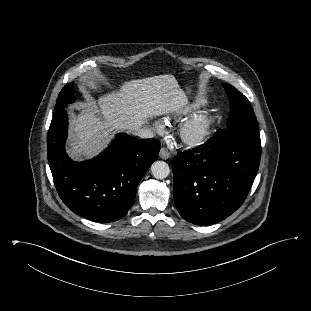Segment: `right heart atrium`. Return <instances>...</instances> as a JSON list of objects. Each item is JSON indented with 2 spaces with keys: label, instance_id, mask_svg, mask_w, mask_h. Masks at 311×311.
I'll use <instances>...</instances> for the list:
<instances>
[{
  "label": "right heart atrium",
  "instance_id": "d8ad5b80",
  "mask_svg": "<svg viewBox=\"0 0 311 311\" xmlns=\"http://www.w3.org/2000/svg\"><path fill=\"white\" fill-rule=\"evenodd\" d=\"M154 128L157 132H160V133H162L165 129L164 126L159 122L154 123Z\"/></svg>",
  "mask_w": 311,
  "mask_h": 311
}]
</instances>
